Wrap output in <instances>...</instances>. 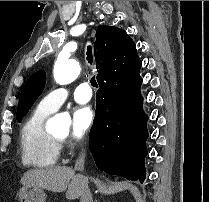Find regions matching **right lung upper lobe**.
Returning a JSON list of instances; mask_svg holds the SVG:
<instances>
[{
	"label": "right lung upper lobe",
	"mask_w": 209,
	"mask_h": 202,
	"mask_svg": "<svg viewBox=\"0 0 209 202\" xmlns=\"http://www.w3.org/2000/svg\"><path fill=\"white\" fill-rule=\"evenodd\" d=\"M94 53L97 81L101 87L114 89L125 86L139 76L142 63L135 43L125 30L99 25Z\"/></svg>",
	"instance_id": "right-lung-upper-lobe-1"
}]
</instances>
